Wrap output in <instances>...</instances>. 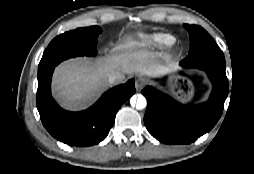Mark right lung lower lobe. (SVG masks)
I'll list each match as a JSON object with an SVG mask.
<instances>
[{
    "label": "right lung lower lobe",
    "mask_w": 254,
    "mask_h": 174,
    "mask_svg": "<svg viewBox=\"0 0 254 174\" xmlns=\"http://www.w3.org/2000/svg\"><path fill=\"white\" fill-rule=\"evenodd\" d=\"M53 71L51 67L38 76L37 109L44 127L54 138L70 146L98 144L108 135L119 108L135 93V81L110 89L87 110L68 112L51 96Z\"/></svg>",
    "instance_id": "obj_1"
}]
</instances>
